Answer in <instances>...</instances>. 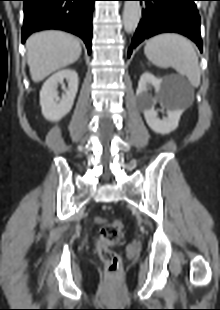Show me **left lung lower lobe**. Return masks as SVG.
<instances>
[{
	"mask_svg": "<svg viewBox=\"0 0 220 310\" xmlns=\"http://www.w3.org/2000/svg\"><path fill=\"white\" fill-rule=\"evenodd\" d=\"M142 4V19L132 39V49L154 35L175 32L194 41L202 52L200 16L196 0H139Z\"/></svg>",
	"mask_w": 220,
	"mask_h": 310,
	"instance_id": "1",
	"label": "left lung lower lobe"
}]
</instances>
